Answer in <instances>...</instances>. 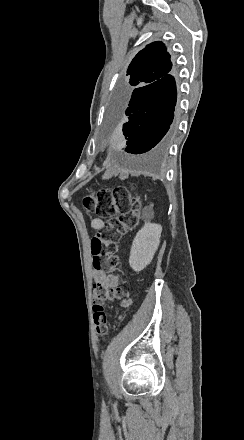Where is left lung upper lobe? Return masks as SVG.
<instances>
[{
    "instance_id": "5c2ea615",
    "label": "left lung upper lobe",
    "mask_w": 244,
    "mask_h": 440,
    "mask_svg": "<svg viewBox=\"0 0 244 440\" xmlns=\"http://www.w3.org/2000/svg\"><path fill=\"white\" fill-rule=\"evenodd\" d=\"M171 69L170 54L166 51L165 45L162 42H153L134 57L126 75L129 85L137 87L159 80Z\"/></svg>"
}]
</instances>
